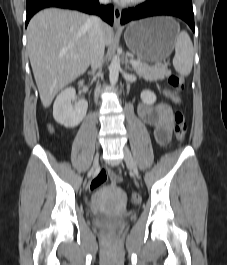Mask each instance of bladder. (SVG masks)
<instances>
[{
    "instance_id": "31cf9c89",
    "label": "bladder",
    "mask_w": 227,
    "mask_h": 265,
    "mask_svg": "<svg viewBox=\"0 0 227 265\" xmlns=\"http://www.w3.org/2000/svg\"><path fill=\"white\" fill-rule=\"evenodd\" d=\"M104 193L107 195H112L117 192V188L114 186H108L103 189ZM92 224L99 229H116L122 226V222L110 217L108 215L98 213L92 218Z\"/></svg>"
}]
</instances>
